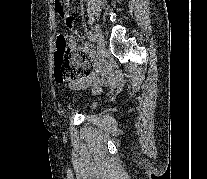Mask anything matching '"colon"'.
Segmentation results:
<instances>
[{"mask_svg": "<svg viewBox=\"0 0 207 179\" xmlns=\"http://www.w3.org/2000/svg\"><path fill=\"white\" fill-rule=\"evenodd\" d=\"M55 10L66 17L69 25L72 18L69 16L72 10L70 0H55ZM55 49V78L59 82L78 83L83 81L92 72V59L82 51H73L71 41L67 35L61 33L56 38Z\"/></svg>", "mask_w": 207, "mask_h": 179, "instance_id": "colon-1", "label": "colon"}]
</instances>
